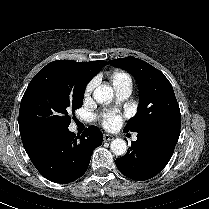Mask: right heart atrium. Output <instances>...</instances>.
Returning <instances> with one entry per match:
<instances>
[{
    "mask_svg": "<svg viewBox=\"0 0 209 209\" xmlns=\"http://www.w3.org/2000/svg\"><path fill=\"white\" fill-rule=\"evenodd\" d=\"M94 86H95V81H94V80L90 81V82L87 84V86H86V88H85V91H84V95H85L86 97L89 96V95L91 94V92H92L93 89H94Z\"/></svg>",
    "mask_w": 209,
    "mask_h": 209,
    "instance_id": "right-heart-atrium-1",
    "label": "right heart atrium"
}]
</instances>
